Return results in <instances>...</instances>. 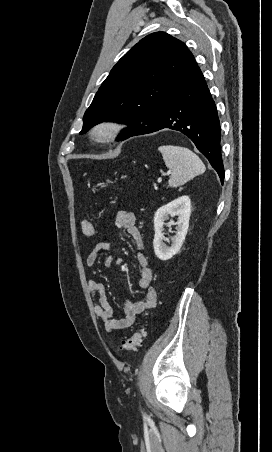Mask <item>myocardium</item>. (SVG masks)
I'll use <instances>...</instances> for the list:
<instances>
[{"mask_svg":"<svg viewBox=\"0 0 272 452\" xmlns=\"http://www.w3.org/2000/svg\"><path fill=\"white\" fill-rule=\"evenodd\" d=\"M121 131V126L111 120L101 121L90 130V137L97 143H108L116 139Z\"/></svg>","mask_w":272,"mask_h":452,"instance_id":"1","label":"myocardium"}]
</instances>
